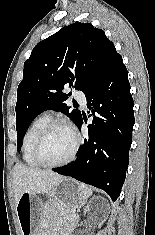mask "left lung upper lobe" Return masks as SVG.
<instances>
[{"instance_id":"1","label":"left lung upper lobe","mask_w":155,"mask_h":235,"mask_svg":"<svg viewBox=\"0 0 155 235\" xmlns=\"http://www.w3.org/2000/svg\"><path fill=\"white\" fill-rule=\"evenodd\" d=\"M118 57L104 31L90 23L75 22L39 42L24 63L17 90V149L31 122L45 110L61 111L77 125L82 115L64 103L68 99L62 92L64 86L86 95Z\"/></svg>"}]
</instances>
